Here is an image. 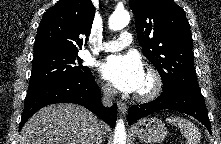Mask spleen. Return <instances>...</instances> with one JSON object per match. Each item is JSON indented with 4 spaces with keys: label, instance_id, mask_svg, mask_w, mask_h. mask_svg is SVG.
Listing matches in <instances>:
<instances>
[{
    "label": "spleen",
    "instance_id": "spleen-1",
    "mask_svg": "<svg viewBox=\"0 0 221 144\" xmlns=\"http://www.w3.org/2000/svg\"><path fill=\"white\" fill-rule=\"evenodd\" d=\"M168 123H171L180 129L181 133L186 139V144H199L201 140V134L197 127L189 120L182 117H169Z\"/></svg>",
    "mask_w": 221,
    "mask_h": 144
}]
</instances>
